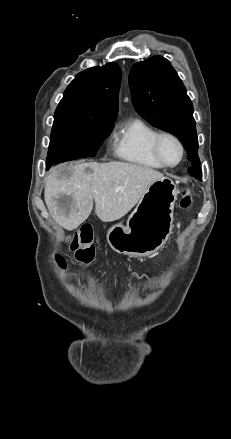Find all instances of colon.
I'll return each mask as SVG.
<instances>
[{"label":"colon","instance_id":"colon-1","mask_svg":"<svg viewBox=\"0 0 231 439\" xmlns=\"http://www.w3.org/2000/svg\"><path fill=\"white\" fill-rule=\"evenodd\" d=\"M190 203L191 195L188 191H185L180 200V205L182 208H187ZM71 250L74 251L78 262L89 264L93 261L95 246L93 244V229L91 226H83L77 231L71 244ZM57 261L63 266V261L60 257L57 258Z\"/></svg>","mask_w":231,"mask_h":439}]
</instances>
